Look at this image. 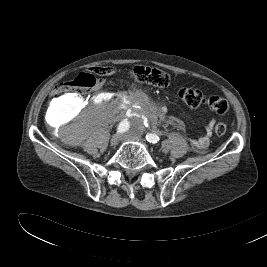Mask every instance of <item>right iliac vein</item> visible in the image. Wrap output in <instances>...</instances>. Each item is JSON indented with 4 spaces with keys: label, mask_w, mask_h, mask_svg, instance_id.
Returning a JSON list of instances; mask_svg holds the SVG:
<instances>
[{
    "label": "right iliac vein",
    "mask_w": 267,
    "mask_h": 267,
    "mask_svg": "<svg viewBox=\"0 0 267 267\" xmlns=\"http://www.w3.org/2000/svg\"><path fill=\"white\" fill-rule=\"evenodd\" d=\"M119 141H120V135L115 134L114 136H112L110 143L112 146H116L119 143Z\"/></svg>",
    "instance_id": "right-iliac-vein-1"
}]
</instances>
